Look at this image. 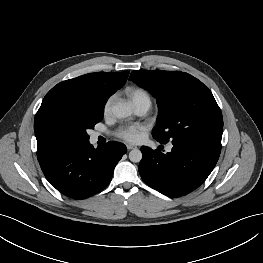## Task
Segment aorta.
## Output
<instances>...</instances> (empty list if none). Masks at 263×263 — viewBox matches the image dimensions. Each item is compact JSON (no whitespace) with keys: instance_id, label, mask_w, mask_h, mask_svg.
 Returning a JSON list of instances; mask_svg holds the SVG:
<instances>
[{"instance_id":"1","label":"aorta","mask_w":263,"mask_h":263,"mask_svg":"<svg viewBox=\"0 0 263 263\" xmlns=\"http://www.w3.org/2000/svg\"><path fill=\"white\" fill-rule=\"evenodd\" d=\"M112 112L117 118H127L132 114V108L129 104L122 103L113 106ZM129 159L135 163L140 162L142 159V152L139 149L131 150Z\"/></svg>"}]
</instances>
